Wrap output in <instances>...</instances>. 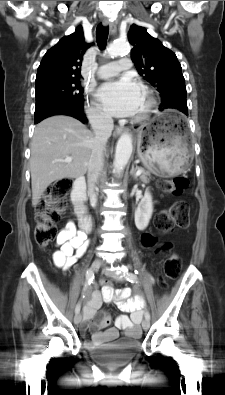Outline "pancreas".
<instances>
[{
    "label": "pancreas",
    "instance_id": "1",
    "mask_svg": "<svg viewBox=\"0 0 225 395\" xmlns=\"http://www.w3.org/2000/svg\"><path fill=\"white\" fill-rule=\"evenodd\" d=\"M137 169H141V170H142V173H141V175H140V179H141L143 182H147V181H148V176L150 177V172L144 170L143 168H137Z\"/></svg>",
    "mask_w": 225,
    "mask_h": 395
}]
</instances>
